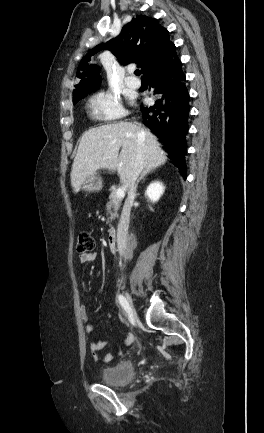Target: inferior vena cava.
I'll use <instances>...</instances> for the list:
<instances>
[{
	"label": "inferior vena cava",
	"mask_w": 264,
	"mask_h": 433,
	"mask_svg": "<svg viewBox=\"0 0 264 433\" xmlns=\"http://www.w3.org/2000/svg\"><path fill=\"white\" fill-rule=\"evenodd\" d=\"M144 136V131L141 130L138 133V138L141 139ZM143 170V162H142V154L141 150L138 151L137 159L135 163V168L130 180L129 184V191H128V197L126 199V202L124 204L123 210L120 212L121 219L119 224V231L117 236V253L118 257H123V255L126 253V237L128 233V225H129V218H130V211L131 206L135 198V192H136V180L139 175V173Z\"/></svg>",
	"instance_id": "602c4592"
}]
</instances>
